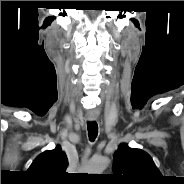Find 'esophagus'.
<instances>
[{"instance_id": "1", "label": "esophagus", "mask_w": 184, "mask_h": 184, "mask_svg": "<svg viewBox=\"0 0 184 184\" xmlns=\"http://www.w3.org/2000/svg\"><path fill=\"white\" fill-rule=\"evenodd\" d=\"M88 119H89L90 121H94V120H96L97 118H96L95 116H89Z\"/></svg>"}]
</instances>
